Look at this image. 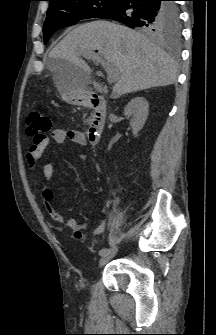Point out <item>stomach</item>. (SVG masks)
Wrapping results in <instances>:
<instances>
[{"label": "stomach", "mask_w": 216, "mask_h": 335, "mask_svg": "<svg viewBox=\"0 0 216 335\" xmlns=\"http://www.w3.org/2000/svg\"><path fill=\"white\" fill-rule=\"evenodd\" d=\"M58 88L63 101L72 105L80 103L83 96L82 90L80 88H72L64 77H61L58 81Z\"/></svg>", "instance_id": "1"}]
</instances>
